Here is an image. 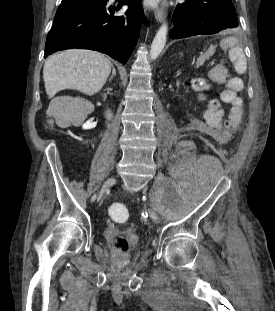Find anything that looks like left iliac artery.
Wrapping results in <instances>:
<instances>
[{
  "instance_id": "left-iliac-artery-1",
  "label": "left iliac artery",
  "mask_w": 275,
  "mask_h": 311,
  "mask_svg": "<svg viewBox=\"0 0 275 311\" xmlns=\"http://www.w3.org/2000/svg\"><path fill=\"white\" fill-rule=\"evenodd\" d=\"M142 215L144 216V213H142ZM146 215H147V213H146ZM145 217V216H144ZM146 218V217H145Z\"/></svg>"
}]
</instances>
